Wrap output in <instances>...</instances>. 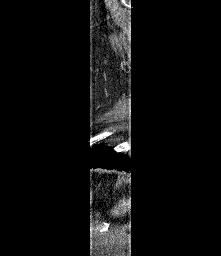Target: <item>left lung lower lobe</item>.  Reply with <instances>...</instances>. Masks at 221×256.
Wrapping results in <instances>:
<instances>
[{
    "mask_svg": "<svg viewBox=\"0 0 221 256\" xmlns=\"http://www.w3.org/2000/svg\"><path fill=\"white\" fill-rule=\"evenodd\" d=\"M78 160L85 167H102L105 169H118L133 171V174H142L139 157L136 151H112L101 142L86 145L78 151Z\"/></svg>",
    "mask_w": 221,
    "mask_h": 256,
    "instance_id": "1",
    "label": "left lung lower lobe"
}]
</instances>
